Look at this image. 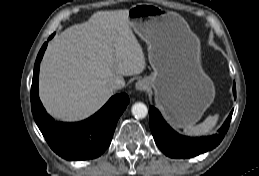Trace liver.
Returning <instances> with one entry per match:
<instances>
[{"instance_id": "1", "label": "liver", "mask_w": 259, "mask_h": 176, "mask_svg": "<svg viewBox=\"0 0 259 176\" xmlns=\"http://www.w3.org/2000/svg\"><path fill=\"white\" fill-rule=\"evenodd\" d=\"M128 11H98L51 41L40 66L39 97L53 117H89L113 95V79L144 71L146 60Z\"/></svg>"}]
</instances>
